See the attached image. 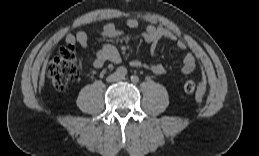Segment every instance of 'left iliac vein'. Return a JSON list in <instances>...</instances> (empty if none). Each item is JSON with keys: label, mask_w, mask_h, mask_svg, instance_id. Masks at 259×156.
<instances>
[{"label": "left iliac vein", "mask_w": 259, "mask_h": 156, "mask_svg": "<svg viewBox=\"0 0 259 156\" xmlns=\"http://www.w3.org/2000/svg\"><path fill=\"white\" fill-rule=\"evenodd\" d=\"M124 79H125L124 76H119V77H118V80H124Z\"/></svg>", "instance_id": "1"}]
</instances>
